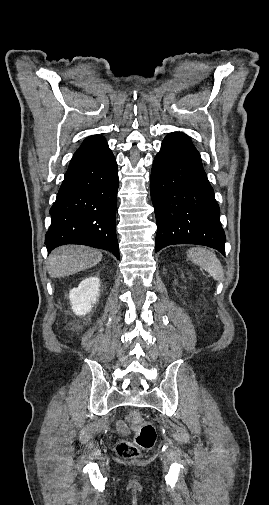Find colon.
I'll list each match as a JSON object with an SVG mask.
<instances>
[{
	"mask_svg": "<svg viewBox=\"0 0 269 505\" xmlns=\"http://www.w3.org/2000/svg\"><path fill=\"white\" fill-rule=\"evenodd\" d=\"M129 422L135 430L133 441L122 440L116 446L118 456L123 459L139 457L140 450L152 448L157 438L154 425L145 421L138 412L130 415Z\"/></svg>",
	"mask_w": 269,
	"mask_h": 505,
	"instance_id": "colon-1",
	"label": "colon"
}]
</instances>
